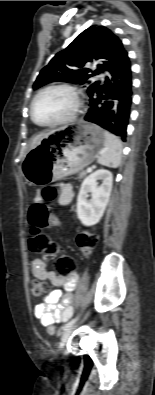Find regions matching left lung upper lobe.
Listing matches in <instances>:
<instances>
[{"mask_svg":"<svg viewBox=\"0 0 155 395\" xmlns=\"http://www.w3.org/2000/svg\"><path fill=\"white\" fill-rule=\"evenodd\" d=\"M127 55L121 40L110 29L91 26L52 58L41 70L33 88L37 89L52 81H65L87 85L88 95H91L99 81L92 82L90 78L109 71ZM88 62H95L97 69L92 71L88 68Z\"/></svg>","mask_w":155,"mask_h":395,"instance_id":"left-lung-upper-lobe-1","label":"left lung upper lobe"}]
</instances>
